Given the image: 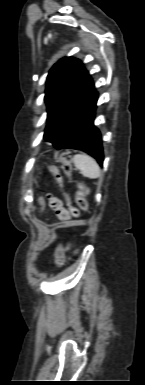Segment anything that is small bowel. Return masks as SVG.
<instances>
[{
	"instance_id": "1",
	"label": "small bowel",
	"mask_w": 145,
	"mask_h": 385,
	"mask_svg": "<svg viewBox=\"0 0 145 385\" xmlns=\"http://www.w3.org/2000/svg\"><path fill=\"white\" fill-rule=\"evenodd\" d=\"M48 204L50 208L56 213V216L59 220L57 223L58 227L63 228L67 227L71 223L72 217H75L70 212L69 208H66L63 202L56 196L49 194L47 196ZM44 199L39 200V205L41 208L44 206ZM68 248V245L60 244L57 246L53 260L56 264L61 265L64 262L65 252Z\"/></svg>"
}]
</instances>
